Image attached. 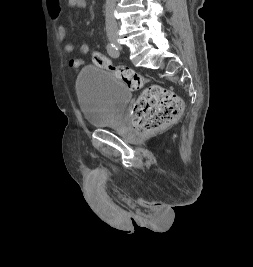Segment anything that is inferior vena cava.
Returning a JSON list of instances; mask_svg holds the SVG:
<instances>
[{
    "instance_id": "1",
    "label": "inferior vena cava",
    "mask_w": 253,
    "mask_h": 267,
    "mask_svg": "<svg viewBox=\"0 0 253 267\" xmlns=\"http://www.w3.org/2000/svg\"><path fill=\"white\" fill-rule=\"evenodd\" d=\"M116 0H106L105 4V24L106 30H112V28H117V22L114 16Z\"/></svg>"
}]
</instances>
